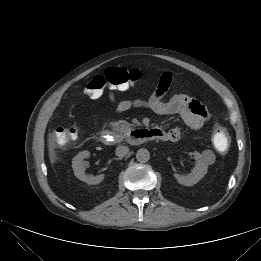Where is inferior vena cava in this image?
<instances>
[{
    "label": "inferior vena cava",
    "mask_w": 261,
    "mask_h": 261,
    "mask_svg": "<svg viewBox=\"0 0 261 261\" xmlns=\"http://www.w3.org/2000/svg\"><path fill=\"white\" fill-rule=\"evenodd\" d=\"M129 152V148L127 146H118L116 148V156L123 158L124 156H126Z\"/></svg>",
    "instance_id": "inferior-vena-cava-1"
}]
</instances>
